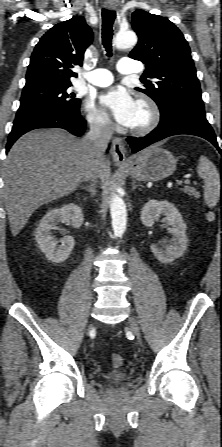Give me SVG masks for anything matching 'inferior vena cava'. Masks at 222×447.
Returning <instances> with one entry per match:
<instances>
[{
  "label": "inferior vena cava",
  "instance_id": "obj_1",
  "mask_svg": "<svg viewBox=\"0 0 222 447\" xmlns=\"http://www.w3.org/2000/svg\"><path fill=\"white\" fill-rule=\"evenodd\" d=\"M113 129L108 118L94 120L90 123V131L85 136V141L88 143L92 162L90 168L84 173L83 180H91L96 182L97 165L105 158V151L111 140Z\"/></svg>",
  "mask_w": 222,
  "mask_h": 447
}]
</instances>
